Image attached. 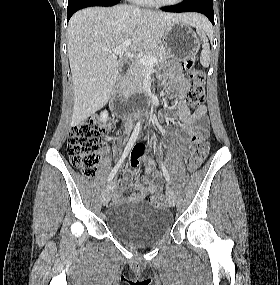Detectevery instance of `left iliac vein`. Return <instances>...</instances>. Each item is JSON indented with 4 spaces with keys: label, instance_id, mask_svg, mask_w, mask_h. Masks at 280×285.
Wrapping results in <instances>:
<instances>
[{
    "label": "left iliac vein",
    "instance_id": "obj_1",
    "mask_svg": "<svg viewBox=\"0 0 280 285\" xmlns=\"http://www.w3.org/2000/svg\"><path fill=\"white\" fill-rule=\"evenodd\" d=\"M166 195H167L169 205L171 207H174L176 203V199H175V194L170 186H167L166 188Z\"/></svg>",
    "mask_w": 280,
    "mask_h": 285
}]
</instances>
